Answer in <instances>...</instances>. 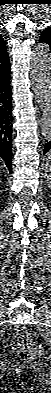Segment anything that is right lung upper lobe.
<instances>
[{
	"label": "right lung upper lobe",
	"mask_w": 51,
	"mask_h": 393,
	"mask_svg": "<svg viewBox=\"0 0 51 393\" xmlns=\"http://www.w3.org/2000/svg\"><path fill=\"white\" fill-rule=\"evenodd\" d=\"M10 69L9 57L5 47V41L0 35V74Z\"/></svg>",
	"instance_id": "1"
}]
</instances>
